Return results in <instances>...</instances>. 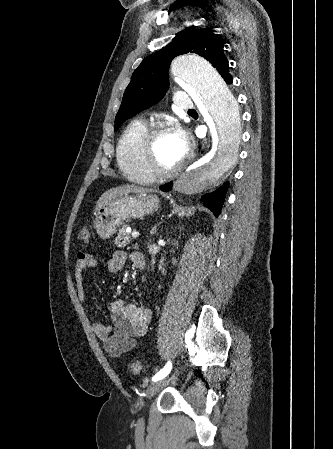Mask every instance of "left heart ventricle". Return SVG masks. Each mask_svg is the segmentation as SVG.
<instances>
[{
    "label": "left heart ventricle",
    "mask_w": 333,
    "mask_h": 449,
    "mask_svg": "<svg viewBox=\"0 0 333 449\" xmlns=\"http://www.w3.org/2000/svg\"><path fill=\"white\" fill-rule=\"evenodd\" d=\"M155 157L157 165L166 170L175 167L183 159L173 132H164L157 137Z\"/></svg>",
    "instance_id": "left-heart-ventricle-1"
}]
</instances>
